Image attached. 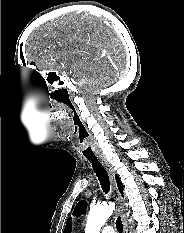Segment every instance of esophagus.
I'll use <instances>...</instances> for the list:
<instances>
[{
	"label": "esophagus",
	"instance_id": "34e87169",
	"mask_svg": "<svg viewBox=\"0 0 184 233\" xmlns=\"http://www.w3.org/2000/svg\"><path fill=\"white\" fill-rule=\"evenodd\" d=\"M99 160L101 161V163L107 170L108 175L110 177L112 194H113V197L116 203L117 212L121 215V218H122L123 231H124L123 233H128V225H127L126 214H125V202L118 191V188L115 182L113 167L105 158L99 157Z\"/></svg>",
	"mask_w": 184,
	"mask_h": 233
}]
</instances>
